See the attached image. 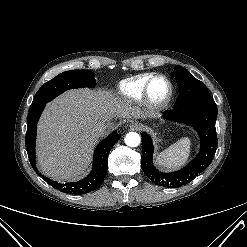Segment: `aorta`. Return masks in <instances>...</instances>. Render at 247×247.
<instances>
[{"mask_svg":"<svg viewBox=\"0 0 247 247\" xmlns=\"http://www.w3.org/2000/svg\"><path fill=\"white\" fill-rule=\"evenodd\" d=\"M141 142L140 135L136 132H129L125 137V143L129 147H137Z\"/></svg>","mask_w":247,"mask_h":247,"instance_id":"obj_1","label":"aorta"}]
</instances>
